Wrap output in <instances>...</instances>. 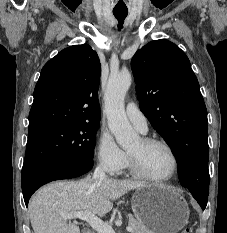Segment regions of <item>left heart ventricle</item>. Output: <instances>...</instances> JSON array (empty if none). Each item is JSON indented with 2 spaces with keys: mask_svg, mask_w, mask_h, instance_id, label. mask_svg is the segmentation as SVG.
<instances>
[{
  "mask_svg": "<svg viewBox=\"0 0 227 233\" xmlns=\"http://www.w3.org/2000/svg\"><path fill=\"white\" fill-rule=\"evenodd\" d=\"M128 151L137 158L144 171L152 176L164 177L172 171V157L161 145L144 146L139 139Z\"/></svg>",
  "mask_w": 227,
  "mask_h": 233,
  "instance_id": "obj_1",
  "label": "left heart ventricle"
}]
</instances>
